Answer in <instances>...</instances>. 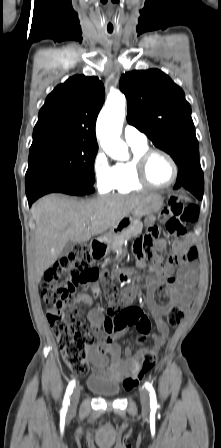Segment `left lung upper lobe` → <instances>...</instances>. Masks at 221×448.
Returning a JSON list of instances; mask_svg holds the SVG:
<instances>
[{
  "label": "left lung upper lobe",
  "instance_id": "obj_1",
  "mask_svg": "<svg viewBox=\"0 0 221 448\" xmlns=\"http://www.w3.org/2000/svg\"><path fill=\"white\" fill-rule=\"evenodd\" d=\"M127 97V121L174 159L180 169L200 166L191 107L184 92L158 69L122 75Z\"/></svg>",
  "mask_w": 221,
  "mask_h": 448
}]
</instances>
